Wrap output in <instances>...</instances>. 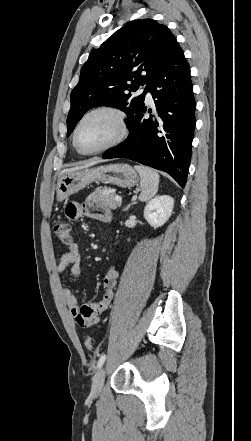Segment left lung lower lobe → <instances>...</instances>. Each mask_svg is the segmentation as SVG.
<instances>
[{
  "mask_svg": "<svg viewBox=\"0 0 251 441\" xmlns=\"http://www.w3.org/2000/svg\"><path fill=\"white\" fill-rule=\"evenodd\" d=\"M147 91L153 97L156 113L145 118L147 109L143 105L127 125V139L107 150L103 158L131 159L167 172L184 187L196 124V102L190 67L178 44L147 84Z\"/></svg>",
  "mask_w": 251,
  "mask_h": 441,
  "instance_id": "left-lung-lower-lobe-1",
  "label": "left lung lower lobe"
}]
</instances>
